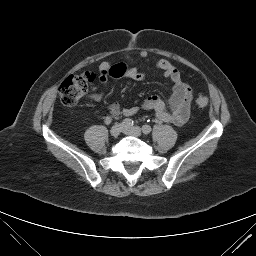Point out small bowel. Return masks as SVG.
<instances>
[{
    "instance_id": "small-bowel-1",
    "label": "small bowel",
    "mask_w": 256,
    "mask_h": 256,
    "mask_svg": "<svg viewBox=\"0 0 256 256\" xmlns=\"http://www.w3.org/2000/svg\"><path fill=\"white\" fill-rule=\"evenodd\" d=\"M142 59L149 57V52L143 50L140 52ZM127 59H130L127 56ZM156 67L163 73V76L172 83L173 94L170 99L171 110H168L166 103L157 95L147 97L140 106L120 108L118 104H111L109 111L112 117L119 115L132 116L139 110L152 111L159 122L172 123L176 126L184 125L191 113V104L193 100V91L190 85L184 81L179 70L166 59H160L156 62ZM100 81L106 85L113 79L126 77L135 81H143L147 75L137 67H128L124 62L110 63L107 61L99 65ZM94 99L100 100L102 94H95Z\"/></svg>"
}]
</instances>
